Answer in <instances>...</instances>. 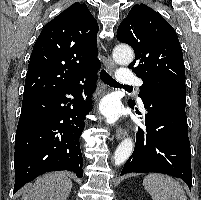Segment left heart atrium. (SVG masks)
I'll return each instance as SVG.
<instances>
[{
	"label": "left heart atrium",
	"mask_w": 201,
	"mask_h": 200,
	"mask_svg": "<svg viewBox=\"0 0 201 200\" xmlns=\"http://www.w3.org/2000/svg\"><path fill=\"white\" fill-rule=\"evenodd\" d=\"M102 110L110 121H114L117 118L116 109L112 104L106 103Z\"/></svg>",
	"instance_id": "left-heart-atrium-1"
}]
</instances>
